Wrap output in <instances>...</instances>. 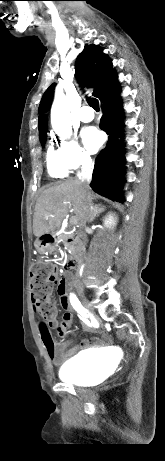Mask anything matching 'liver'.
I'll return each mask as SVG.
<instances>
[{"instance_id": "obj_1", "label": "liver", "mask_w": 165, "mask_h": 461, "mask_svg": "<svg viewBox=\"0 0 165 461\" xmlns=\"http://www.w3.org/2000/svg\"><path fill=\"white\" fill-rule=\"evenodd\" d=\"M92 199L91 192L89 190ZM86 192L81 182L70 179L45 189L37 200L33 218V233L37 238L58 227L68 212L83 226L89 211ZM92 205V204H91ZM95 213V207L92 206Z\"/></svg>"}]
</instances>
